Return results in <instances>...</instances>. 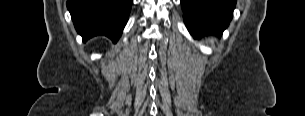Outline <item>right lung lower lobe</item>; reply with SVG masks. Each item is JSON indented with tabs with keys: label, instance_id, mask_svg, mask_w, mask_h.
<instances>
[{
	"label": "right lung lower lobe",
	"instance_id": "98d812e1",
	"mask_svg": "<svg viewBox=\"0 0 305 116\" xmlns=\"http://www.w3.org/2000/svg\"><path fill=\"white\" fill-rule=\"evenodd\" d=\"M132 0H68L67 8L83 39L105 35L117 42L129 17Z\"/></svg>",
	"mask_w": 305,
	"mask_h": 116
}]
</instances>
